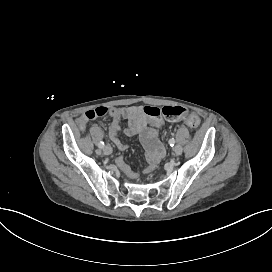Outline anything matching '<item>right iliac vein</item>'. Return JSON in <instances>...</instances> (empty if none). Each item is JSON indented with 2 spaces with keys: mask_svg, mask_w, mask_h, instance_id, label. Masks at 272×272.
<instances>
[{
  "mask_svg": "<svg viewBox=\"0 0 272 272\" xmlns=\"http://www.w3.org/2000/svg\"><path fill=\"white\" fill-rule=\"evenodd\" d=\"M103 152L105 155H110L112 153V148L109 145L103 147Z\"/></svg>",
  "mask_w": 272,
  "mask_h": 272,
  "instance_id": "right-iliac-vein-1",
  "label": "right iliac vein"
}]
</instances>
